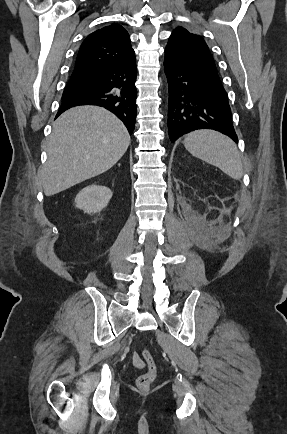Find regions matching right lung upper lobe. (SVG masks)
I'll return each instance as SVG.
<instances>
[{
    "mask_svg": "<svg viewBox=\"0 0 287 434\" xmlns=\"http://www.w3.org/2000/svg\"><path fill=\"white\" fill-rule=\"evenodd\" d=\"M135 58L128 32L119 24L96 30L83 41L74 71L126 62Z\"/></svg>",
    "mask_w": 287,
    "mask_h": 434,
    "instance_id": "right-lung-upper-lobe-1",
    "label": "right lung upper lobe"
}]
</instances>
